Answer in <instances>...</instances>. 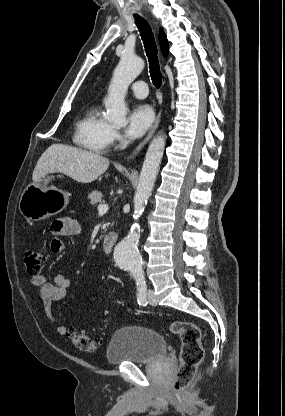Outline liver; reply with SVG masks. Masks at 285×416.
<instances>
[{
	"mask_svg": "<svg viewBox=\"0 0 285 416\" xmlns=\"http://www.w3.org/2000/svg\"><path fill=\"white\" fill-rule=\"evenodd\" d=\"M109 168V160L100 154H93L81 148L52 144L39 158L33 172L34 184L48 174H65L81 184H90L97 180Z\"/></svg>",
	"mask_w": 285,
	"mask_h": 416,
	"instance_id": "obj_1",
	"label": "liver"
}]
</instances>
